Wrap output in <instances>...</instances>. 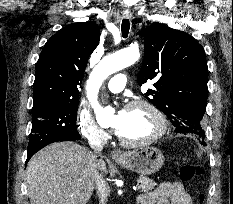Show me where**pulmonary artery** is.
I'll list each match as a JSON object with an SVG mask.
<instances>
[{
    "label": "pulmonary artery",
    "mask_w": 233,
    "mask_h": 204,
    "mask_svg": "<svg viewBox=\"0 0 233 204\" xmlns=\"http://www.w3.org/2000/svg\"><path fill=\"white\" fill-rule=\"evenodd\" d=\"M126 82L127 77L125 74H116L109 80L107 89L112 93H119L124 89Z\"/></svg>",
    "instance_id": "e3ab8cb5"
}]
</instances>
